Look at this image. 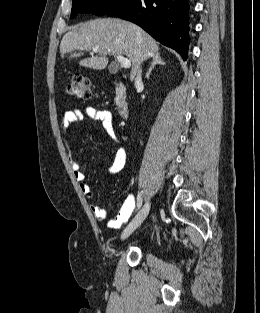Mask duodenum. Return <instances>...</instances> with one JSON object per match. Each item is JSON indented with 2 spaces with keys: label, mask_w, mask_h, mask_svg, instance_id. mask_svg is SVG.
<instances>
[{
  "label": "duodenum",
  "mask_w": 260,
  "mask_h": 313,
  "mask_svg": "<svg viewBox=\"0 0 260 313\" xmlns=\"http://www.w3.org/2000/svg\"><path fill=\"white\" fill-rule=\"evenodd\" d=\"M114 91H115L118 114L122 119H127L130 113L129 106L127 103V98H126L127 88L120 80H116L114 82Z\"/></svg>",
  "instance_id": "1"
}]
</instances>
